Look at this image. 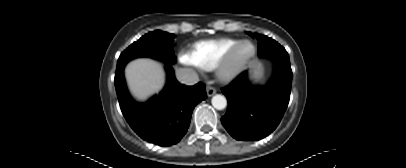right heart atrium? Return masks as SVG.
<instances>
[{"label": "right heart atrium", "instance_id": "right-heart-atrium-1", "mask_svg": "<svg viewBox=\"0 0 406 168\" xmlns=\"http://www.w3.org/2000/svg\"><path fill=\"white\" fill-rule=\"evenodd\" d=\"M179 61L184 65H191V63L188 61V58L186 57V55L180 56Z\"/></svg>", "mask_w": 406, "mask_h": 168}]
</instances>
